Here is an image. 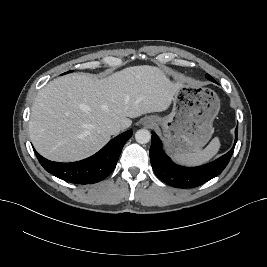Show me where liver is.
I'll list each match as a JSON object with an SVG mask.
<instances>
[{"instance_id": "6515ba94", "label": "liver", "mask_w": 267, "mask_h": 267, "mask_svg": "<svg viewBox=\"0 0 267 267\" xmlns=\"http://www.w3.org/2000/svg\"><path fill=\"white\" fill-rule=\"evenodd\" d=\"M181 84L148 65L128 67L101 80L86 74L56 78L34 100L30 139L47 159L81 160L110 140L108 124L118 122L126 129L132 124L129 118L168 109Z\"/></svg>"}]
</instances>
